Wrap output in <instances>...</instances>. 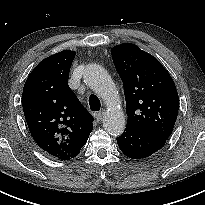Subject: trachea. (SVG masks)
Segmentation results:
<instances>
[{
	"mask_svg": "<svg viewBox=\"0 0 205 205\" xmlns=\"http://www.w3.org/2000/svg\"><path fill=\"white\" fill-rule=\"evenodd\" d=\"M89 106L92 111L100 110L101 104H100V100L98 99V97L91 95L89 97Z\"/></svg>",
	"mask_w": 205,
	"mask_h": 205,
	"instance_id": "1",
	"label": "trachea"
}]
</instances>
